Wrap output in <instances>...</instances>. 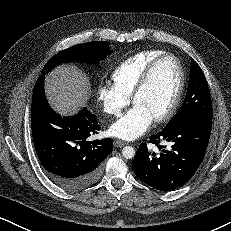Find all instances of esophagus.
Wrapping results in <instances>:
<instances>
[{
    "label": "esophagus",
    "instance_id": "34e87169",
    "mask_svg": "<svg viewBox=\"0 0 231 231\" xmlns=\"http://www.w3.org/2000/svg\"><path fill=\"white\" fill-rule=\"evenodd\" d=\"M125 145H127V143L125 141H122V140H116L114 142V146L117 148L124 147Z\"/></svg>",
    "mask_w": 231,
    "mask_h": 231
}]
</instances>
